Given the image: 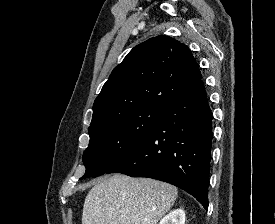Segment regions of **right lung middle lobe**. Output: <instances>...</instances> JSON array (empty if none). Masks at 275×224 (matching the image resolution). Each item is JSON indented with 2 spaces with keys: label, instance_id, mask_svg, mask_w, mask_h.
<instances>
[{
  "label": "right lung middle lobe",
  "instance_id": "1",
  "mask_svg": "<svg viewBox=\"0 0 275 224\" xmlns=\"http://www.w3.org/2000/svg\"><path fill=\"white\" fill-rule=\"evenodd\" d=\"M165 111L143 107L90 127L89 146L83 154L86 173L81 179L107 173L150 134Z\"/></svg>",
  "mask_w": 275,
  "mask_h": 224
}]
</instances>
